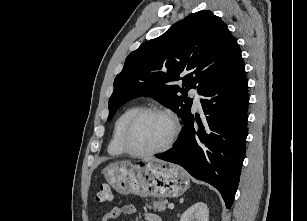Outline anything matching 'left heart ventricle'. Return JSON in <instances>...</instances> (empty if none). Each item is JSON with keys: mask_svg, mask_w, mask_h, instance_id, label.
Returning <instances> with one entry per match:
<instances>
[{"mask_svg": "<svg viewBox=\"0 0 307 221\" xmlns=\"http://www.w3.org/2000/svg\"><path fill=\"white\" fill-rule=\"evenodd\" d=\"M171 132L172 123L169 118L160 114H148L136 124L130 140L137 149L153 150L162 146Z\"/></svg>", "mask_w": 307, "mask_h": 221, "instance_id": "left-heart-ventricle-1", "label": "left heart ventricle"}]
</instances>
